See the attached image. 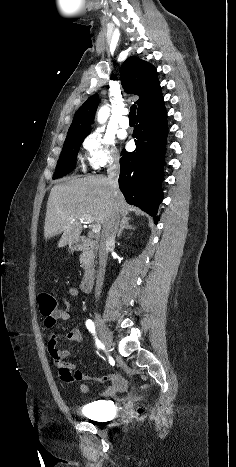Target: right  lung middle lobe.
I'll use <instances>...</instances> for the list:
<instances>
[{
    "label": "right lung middle lobe",
    "mask_w": 236,
    "mask_h": 467,
    "mask_svg": "<svg viewBox=\"0 0 236 467\" xmlns=\"http://www.w3.org/2000/svg\"><path fill=\"white\" fill-rule=\"evenodd\" d=\"M88 133L67 135L53 179L65 176L74 169L79 148Z\"/></svg>",
    "instance_id": "obj_1"
}]
</instances>
